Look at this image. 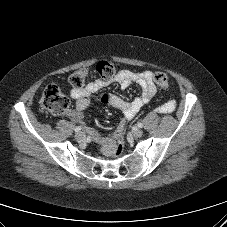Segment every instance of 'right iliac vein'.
Instances as JSON below:
<instances>
[{
  "mask_svg": "<svg viewBox=\"0 0 227 227\" xmlns=\"http://www.w3.org/2000/svg\"><path fill=\"white\" fill-rule=\"evenodd\" d=\"M75 139L79 142L85 140V134L83 132L76 133Z\"/></svg>",
  "mask_w": 227,
  "mask_h": 227,
  "instance_id": "obj_1",
  "label": "right iliac vein"
}]
</instances>
